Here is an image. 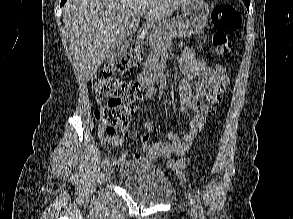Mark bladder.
Masks as SVG:
<instances>
[{"instance_id": "1", "label": "bladder", "mask_w": 293, "mask_h": 219, "mask_svg": "<svg viewBox=\"0 0 293 219\" xmlns=\"http://www.w3.org/2000/svg\"><path fill=\"white\" fill-rule=\"evenodd\" d=\"M118 183L134 200L145 206L163 205L176 198L168 177L154 165H137L122 171Z\"/></svg>"}]
</instances>
